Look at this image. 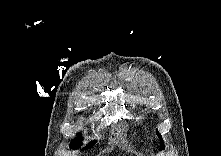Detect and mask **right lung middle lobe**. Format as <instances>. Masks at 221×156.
<instances>
[{
    "label": "right lung middle lobe",
    "mask_w": 221,
    "mask_h": 156,
    "mask_svg": "<svg viewBox=\"0 0 221 156\" xmlns=\"http://www.w3.org/2000/svg\"><path fill=\"white\" fill-rule=\"evenodd\" d=\"M81 141H82L81 138L73 140L70 144V148L71 149L79 148L81 145ZM94 144H95V141H92L87 147L83 148V150L92 147Z\"/></svg>",
    "instance_id": "right-lung-middle-lobe-1"
}]
</instances>
